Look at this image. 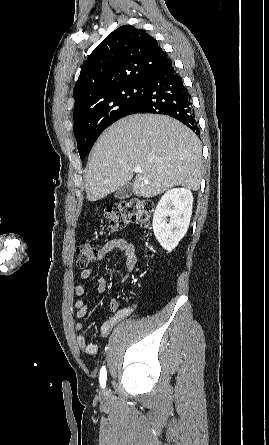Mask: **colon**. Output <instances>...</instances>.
I'll return each mask as SVG.
<instances>
[{
	"label": "colon",
	"instance_id": "5ec220e1",
	"mask_svg": "<svg viewBox=\"0 0 269 445\" xmlns=\"http://www.w3.org/2000/svg\"><path fill=\"white\" fill-rule=\"evenodd\" d=\"M153 212V204L148 200L130 199L109 205L104 218L109 232H115L124 228L129 223H136L147 227ZM100 249L97 245L84 242L77 246V267L86 269L99 257Z\"/></svg>",
	"mask_w": 269,
	"mask_h": 445
}]
</instances>
